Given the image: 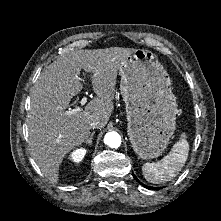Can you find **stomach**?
Wrapping results in <instances>:
<instances>
[{
	"instance_id": "stomach-1",
	"label": "stomach",
	"mask_w": 221,
	"mask_h": 221,
	"mask_svg": "<svg viewBox=\"0 0 221 221\" xmlns=\"http://www.w3.org/2000/svg\"><path fill=\"white\" fill-rule=\"evenodd\" d=\"M119 74L131 146L141 159L157 158L176 129L178 110L170 77L157 56L146 49L129 55Z\"/></svg>"
}]
</instances>
